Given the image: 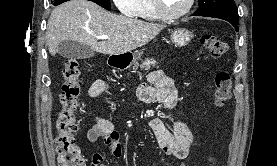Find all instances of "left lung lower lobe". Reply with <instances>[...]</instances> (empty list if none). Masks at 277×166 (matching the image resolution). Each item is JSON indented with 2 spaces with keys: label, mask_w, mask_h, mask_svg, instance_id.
<instances>
[{
  "label": "left lung lower lobe",
  "mask_w": 277,
  "mask_h": 166,
  "mask_svg": "<svg viewBox=\"0 0 277 166\" xmlns=\"http://www.w3.org/2000/svg\"><path fill=\"white\" fill-rule=\"evenodd\" d=\"M226 21L230 22L234 26L236 31H238V27H237V23L236 22H233V21H230V20H226Z\"/></svg>",
  "instance_id": "left-lung-lower-lobe-1"
}]
</instances>
